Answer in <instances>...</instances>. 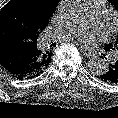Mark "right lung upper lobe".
Wrapping results in <instances>:
<instances>
[{"label":"right lung upper lobe","instance_id":"cb5924a9","mask_svg":"<svg viewBox=\"0 0 118 118\" xmlns=\"http://www.w3.org/2000/svg\"><path fill=\"white\" fill-rule=\"evenodd\" d=\"M34 2V14L37 23L40 26L38 32L26 38H19L14 31L3 21H0V43L3 41H16L28 48L36 51L35 70L42 72L51 62V50L41 49L38 45V39L43 30L48 26L49 19L54 13L60 0H32Z\"/></svg>","mask_w":118,"mask_h":118}]
</instances>
